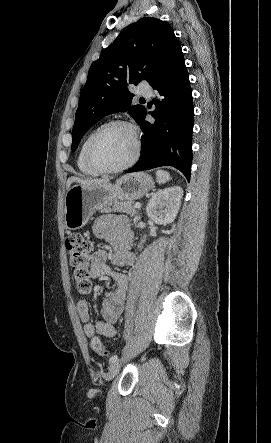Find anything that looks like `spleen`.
<instances>
[{
	"instance_id": "obj_1",
	"label": "spleen",
	"mask_w": 271,
	"mask_h": 443,
	"mask_svg": "<svg viewBox=\"0 0 271 443\" xmlns=\"http://www.w3.org/2000/svg\"><path fill=\"white\" fill-rule=\"evenodd\" d=\"M156 180L158 184H166V182H169V180H171L169 172H164V170H157Z\"/></svg>"
}]
</instances>
